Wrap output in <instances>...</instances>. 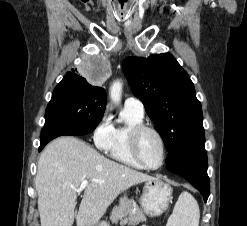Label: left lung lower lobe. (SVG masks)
<instances>
[{
	"instance_id": "0a47b994",
	"label": "left lung lower lobe",
	"mask_w": 247,
	"mask_h": 226,
	"mask_svg": "<svg viewBox=\"0 0 247 226\" xmlns=\"http://www.w3.org/2000/svg\"><path fill=\"white\" fill-rule=\"evenodd\" d=\"M166 168L188 180L200 191L204 201H207L210 182L207 175V153L204 142L171 154L166 160Z\"/></svg>"
}]
</instances>
